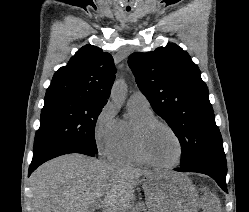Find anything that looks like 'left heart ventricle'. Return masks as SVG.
<instances>
[{"instance_id":"obj_1","label":"left heart ventricle","mask_w":249,"mask_h":212,"mask_svg":"<svg viewBox=\"0 0 249 212\" xmlns=\"http://www.w3.org/2000/svg\"><path fill=\"white\" fill-rule=\"evenodd\" d=\"M145 149L149 157L160 164H172L179 156L176 139L161 127H155L147 134Z\"/></svg>"}]
</instances>
